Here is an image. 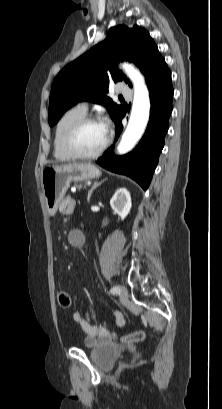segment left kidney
Wrapping results in <instances>:
<instances>
[{
	"instance_id": "1",
	"label": "left kidney",
	"mask_w": 222,
	"mask_h": 409,
	"mask_svg": "<svg viewBox=\"0 0 222 409\" xmlns=\"http://www.w3.org/2000/svg\"><path fill=\"white\" fill-rule=\"evenodd\" d=\"M110 206L124 220L132 206L129 191L126 188L118 189L110 200Z\"/></svg>"
}]
</instances>
